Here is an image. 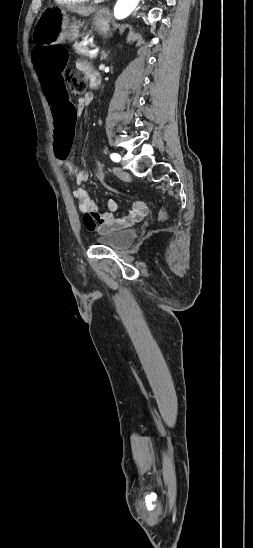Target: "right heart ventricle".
<instances>
[{
  "instance_id": "obj_1",
  "label": "right heart ventricle",
  "mask_w": 253,
  "mask_h": 548,
  "mask_svg": "<svg viewBox=\"0 0 253 548\" xmlns=\"http://www.w3.org/2000/svg\"><path fill=\"white\" fill-rule=\"evenodd\" d=\"M54 1L60 5H75V4L83 3L87 0H54Z\"/></svg>"
}]
</instances>
